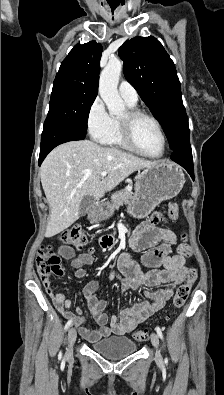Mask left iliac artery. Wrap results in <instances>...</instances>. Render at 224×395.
<instances>
[{"instance_id": "44dca946", "label": "left iliac artery", "mask_w": 224, "mask_h": 395, "mask_svg": "<svg viewBox=\"0 0 224 395\" xmlns=\"http://www.w3.org/2000/svg\"><path fill=\"white\" fill-rule=\"evenodd\" d=\"M155 330H156L158 336L162 339L163 338V334H162L161 328L159 326H156Z\"/></svg>"}]
</instances>
